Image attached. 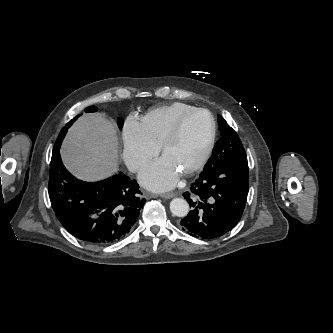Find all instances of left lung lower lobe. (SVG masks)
Listing matches in <instances>:
<instances>
[{
  "label": "left lung lower lobe",
  "instance_id": "0a47b994",
  "mask_svg": "<svg viewBox=\"0 0 333 333\" xmlns=\"http://www.w3.org/2000/svg\"><path fill=\"white\" fill-rule=\"evenodd\" d=\"M249 190L247 158L203 170L183 194L192 210L181 228L202 239L221 237L240 221Z\"/></svg>",
  "mask_w": 333,
  "mask_h": 333
}]
</instances>
